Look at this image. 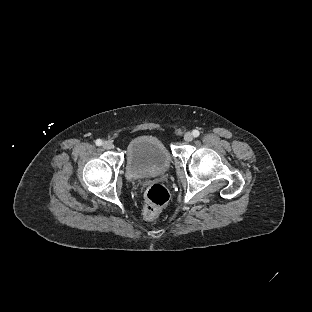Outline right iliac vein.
Masks as SVG:
<instances>
[{
  "mask_svg": "<svg viewBox=\"0 0 312 312\" xmlns=\"http://www.w3.org/2000/svg\"><path fill=\"white\" fill-rule=\"evenodd\" d=\"M112 147H113V145H112V143L109 142V141H105V142L103 143V148H105V149H111Z\"/></svg>",
  "mask_w": 312,
  "mask_h": 312,
  "instance_id": "63e3f726",
  "label": "right iliac vein"
}]
</instances>
